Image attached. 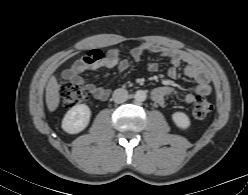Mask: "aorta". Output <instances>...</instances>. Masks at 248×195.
<instances>
[{"mask_svg": "<svg viewBox=\"0 0 248 195\" xmlns=\"http://www.w3.org/2000/svg\"><path fill=\"white\" fill-rule=\"evenodd\" d=\"M146 92L143 91V90H138L136 91L135 95H134V98L136 101L138 102H143L146 100Z\"/></svg>", "mask_w": 248, "mask_h": 195, "instance_id": "obj_1", "label": "aorta"}]
</instances>
